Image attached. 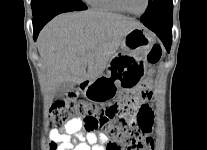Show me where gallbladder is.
<instances>
[{"instance_id":"bac80fb5","label":"gallbladder","mask_w":207,"mask_h":150,"mask_svg":"<svg viewBox=\"0 0 207 150\" xmlns=\"http://www.w3.org/2000/svg\"><path fill=\"white\" fill-rule=\"evenodd\" d=\"M72 89L71 84L69 83H62L58 86L57 90H56V94L58 96H62L66 91Z\"/></svg>"}]
</instances>
